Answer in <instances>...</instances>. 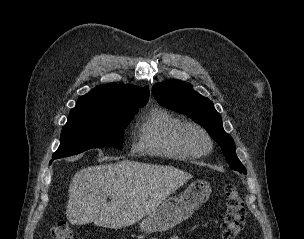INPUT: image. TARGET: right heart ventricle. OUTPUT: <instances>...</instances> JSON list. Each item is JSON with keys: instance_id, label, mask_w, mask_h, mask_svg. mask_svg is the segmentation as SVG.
Instances as JSON below:
<instances>
[{"instance_id": "obj_1", "label": "right heart ventricle", "mask_w": 304, "mask_h": 239, "mask_svg": "<svg viewBox=\"0 0 304 239\" xmlns=\"http://www.w3.org/2000/svg\"><path fill=\"white\" fill-rule=\"evenodd\" d=\"M183 121L167 110H150L136 126L137 147L146 154L184 160L190 158L176 143L175 131Z\"/></svg>"}]
</instances>
